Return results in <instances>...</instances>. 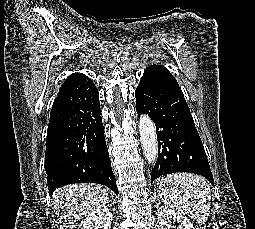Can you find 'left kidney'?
Segmentation results:
<instances>
[{"label":"left kidney","mask_w":255,"mask_h":229,"mask_svg":"<svg viewBox=\"0 0 255 229\" xmlns=\"http://www.w3.org/2000/svg\"><path fill=\"white\" fill-rule=\"evenodd\" d=\"M157 219L159 223V229H171L173 228L172 222L179 224L178 229H195L190 220L180 212H177L167 206H161L157 210Z\"/></svg>","instance_id":"left-kidney-1"}]
</instances>
